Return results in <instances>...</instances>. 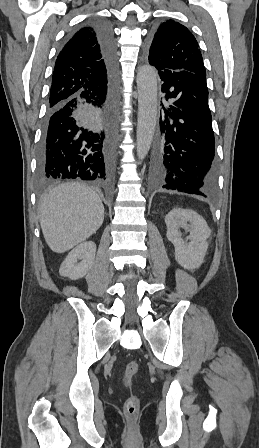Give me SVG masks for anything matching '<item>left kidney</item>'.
<instances>
[{"instance_id":"obj_1","label":"left kidney","mask_w":259,"mask_h":448,"mask_svg":"<svg viewBox=\"0 0 259 448\" xmlns=\"http://www.w3.org/2000/svg\"><path fill=\"white\" fill-rule=\"evenodd\" d=\"M189 222V224H187ZM167 226V238L174 244L175 260L185 270L200 268L204 262L208 250L207 238L211 236V230L202 216L193 210L174 208L165 218ZM179 228H186L190 232L189 244L182 240Z\"/></svg>"}]
</instances>
